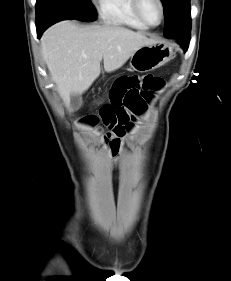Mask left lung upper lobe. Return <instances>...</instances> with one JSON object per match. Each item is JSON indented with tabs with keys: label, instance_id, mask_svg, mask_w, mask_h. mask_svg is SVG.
Instances as JSON below:
<instances>
[{
	"label": "left lung upper lobe",
	"instance_id": "left-lung-upper-lobe-1",
	"mask_svg": "<svg viewBox=\"0 0 231 281\" xmlns=\"http://www.w3.org/2000/svg\"><path fill=\"white\" fill-rule=\"evenodd\" d=\"M165 14V36L179 29L191 28L190 0H161Z\"/></svg>",
	"mask_w": 231,
	"mask_h": 281
}]
</instances>
